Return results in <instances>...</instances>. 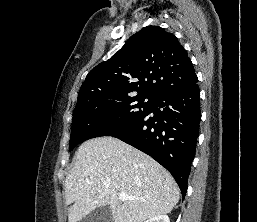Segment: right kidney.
Wrapping results in <instances>:
<instances>
[{"label":"right kidney","mask_w":257,"mask_h":222,"mask_svg":"<svg viewBox=\"0 0 257 222\" xmlns=\"http://www.w3.org/2000/svg\"><path fill=\"white\" fill-rule=\"evenodd\" d=\"M145 222H170L167 215H158L156 217L150 218Z\"/></svg>","instance_id":"1"}]
</instances>
